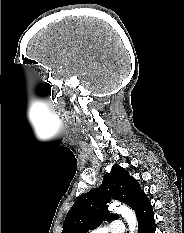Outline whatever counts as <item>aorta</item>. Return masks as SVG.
<instances>
[{"label": "aorta", "instance_id": "762f6f07", "mask_svg": "<svg viewBox=\"0 0 184 233\" xmlns=\"http://www.w3.org/2000/svg\"><path fill=\"white\" fill-rule=\"evenodd\" d=\"M110 210H115L119 214L122 215V217L125 219V221L128 224L130 233H136L137 231V218L135 213L132 209H130L126 205H122L120 203H113L109 206Z\"/></svg>", "mask_w": 184, "mask_h": 233}]
</instances>
